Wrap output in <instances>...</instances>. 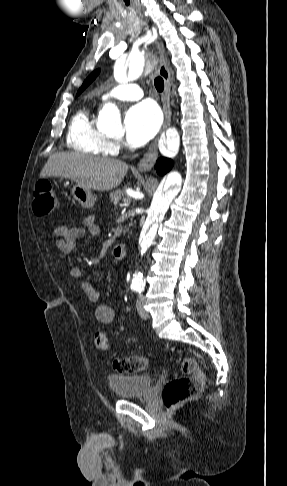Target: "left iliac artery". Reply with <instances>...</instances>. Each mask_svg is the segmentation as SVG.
I'll use <instances>...</instances> for the list:
<instances>
[{"mask_svg": "<svg viewBox=\"0 0 287 486\" xmlns=\"http://www.w3.org/2000/svg\"><path fill=\"white\" fill-rule=\"evenodd\" d=\"M143 289H144V288H143V287H141V286H140V287H136V290H137L139 293H141V292L143 291Z\"/></svg>", "mask_w": 287, "mask_h": 486, "instance_id": "44dca946", "label": "left iliac artery"}]
</instances>
